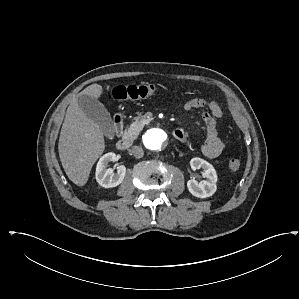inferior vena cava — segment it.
I'll return each mask as SVG.
<instances>
[{"instance_id":"inferior-vena-cava-1","label":"inferior vena cava","mask_w":299,"mask_h":299,"mask_svg":"<svg viewBox=\"0 0 299 299\" xmlns=\"http://www.w3.org/2000/svg\"><path fill=\"white\" fill-rule=\"evenodd\" d=\"M134 157L136 158H142L144 155V151L140 146H133L130 150Z\"/></svg>"}]
</instances>
